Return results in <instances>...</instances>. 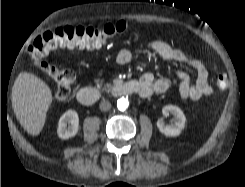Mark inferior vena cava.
<instances>
[{"label": "inferior vena cava", "instance_id": "602c4592", "mask_svg": "<svg viewBox=\"0 0 245 187\" xmlns=\"http://www.w3.org/2000/svg\"><path fill=\"white\" fill-rule=\"evenodd\" d=\"M99 108H100L101 111L106 112V111L110 110V108H111V103H110L109 101L103 100V101L100 103Z\"/></svg>", "mask_w": 245, "mask_h": 187}]
</instances>
